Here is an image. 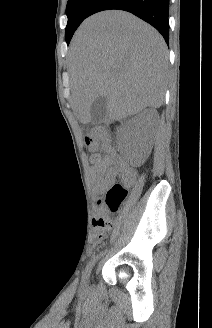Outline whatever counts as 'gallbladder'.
Segmentation results:
<instances>
[{"instance_id": "obj_1", "label": "gallbladder", "mask_w": 212, "mask_h": 328, "mask_svg": "<svg viewBox=\"0 0 212 328\" xmlns=\"http://www.w3.org/2000/svg\"><path fill=\"white\" fill-rule=\"evenodd\" d=\"M107 113V100L103 96H99L92 103L90 114L91 124H99L104 121Z\"/></svg>"}]
</instances>
